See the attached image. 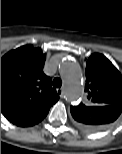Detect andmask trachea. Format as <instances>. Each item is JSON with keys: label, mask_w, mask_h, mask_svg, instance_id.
<instances>
[{"label": "trachea", "mask_w": 122, "mask_h": 154, "mask_svg": "<svg viewBox=\"0 0 122 154\" xmlns=\"http://www.w3.org/2000/svg\"><path fill=\"white\" fill-rule=\"evenodd\" d=\"M52 84H53V87L60 88L62 85V81L60 78H54Z\"/></svg>", "instance_id": "trachea-1"}]
</instances>
